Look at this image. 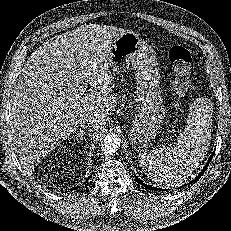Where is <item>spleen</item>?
<instances>
[{"label":"spleen","mask_w":231,"mask_h":231,"mask_svg":"<svg viewBox=\"0 0 231 231\" xmlns=\"http://www.w3.org/2000/svg\"><path fill=\"white\" fill-rule=\"evenodd\" d=\"M212 117L201 99L190 108L187 127L173 146L143 152L139 165L148 178L166 187L180 186L203 160L211 137Z\"/></svg>","instance_id":"spleen-1"}]
</instances>
